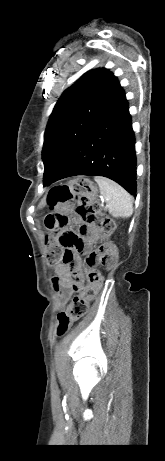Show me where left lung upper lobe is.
I'll list each match as a JSON object with an SVG mask.
<instances>
[{"instance_id":"1","label":"left lung upper lobe","mask_w":165,"mask_h":461,"mask_svg":"<svg viewBox=\"0 0 165 461\" xmlns=\"http://www.w3.org/2000/svg\"><path fill=\"white\" fill-rule=\"evenodd\" d=\"M121 89L108 69L99 68L85 73L61 95L44 134V185L59 173Z\"/></svg>"}]
</instances>
